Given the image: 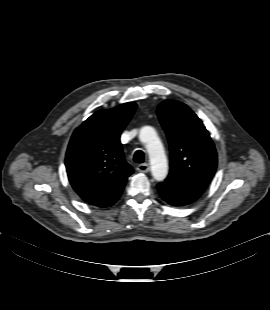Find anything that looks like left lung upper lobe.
Instances as JSON below:
<instances>
[{
	"mask_svg": "<svg viewBox=\"0 0 270 310\" xmlns=\"http://www.w3.org/2000/svg\"><path fill=\"white\" fill-rule=\"evenodd\" d=\"M157 114L170 145L166 181L205 190L217 168V153L204 124L187 105L175 100L163 101Z\"/></svg>",
	"mask_w": 270,
	"mask_h": 310,
	"instance_id": "5c2ea615",
	"label": "left lung upper lobe"
}]
</instances>
